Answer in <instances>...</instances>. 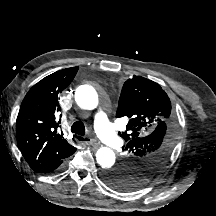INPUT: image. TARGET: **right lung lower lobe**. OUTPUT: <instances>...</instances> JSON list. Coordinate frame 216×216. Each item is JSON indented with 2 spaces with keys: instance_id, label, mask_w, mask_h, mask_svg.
Here are the masks:
<instances>
[{
  "instance_id": "1",
  "label": "right lung lower lobe",
  "mask_w": 216,
  "mask_h": 216,
  "mask_svg": "<svg viewBox=\"0 0 216 216\" xmlns=\"http://www.w3.org/2000/svg\"><path fill=\"white\" fill-rule=\"evenodd\" d=\"M62 163H63V161H62L61 163H59V164H57V165H55V166H53V167L47 169V170L41 172V173H48V172H52V171H54L55 169H57V168H58Z\"/></svg>"
}]
</instances>
